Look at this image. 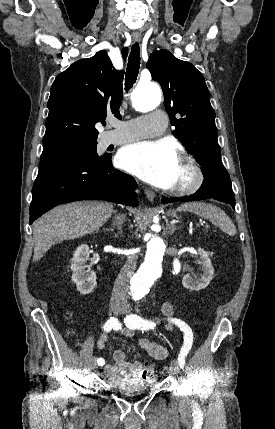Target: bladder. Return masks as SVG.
<instances>
[{
  "label": "bladder",
  "instance_id": "1",
  "mask_svg": "<svg viewBox=\"0 0 275 429\" xmlns=\"http://www.w3.org/2000/svg\"><path fill=\"white\" fill-rule=\"evenodd\" d=\"M107 382L118 398H141L142 393H155V384H148V378H118Z\"/></svg>",
  "mask_w": 275,
  "mask_h": 429
}]
</instances>
